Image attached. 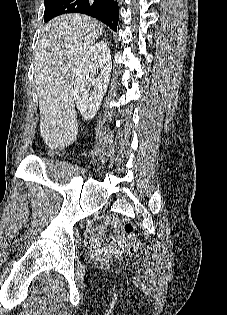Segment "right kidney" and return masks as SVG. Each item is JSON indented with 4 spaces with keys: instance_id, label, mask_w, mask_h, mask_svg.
<instances>
[{
    "instance_id": "1",
    "label": "right kidney",
    "mask_w": 227,
    "mask_h": 315,
    "mask_svg": "<svg viewBox=\"0 0 227 315\" xmlns=\"http://www.w3.org/2000/svg\"><path fill=\"white\" fill-rule=\"evenodd\" d=\"M112 61L105 41L91 46L75 74L73 97L86 120L94 118L110 81ZM97 74V77L95 75ZM93 86V90H90Z\"/></svg>"
}]
</instances>
